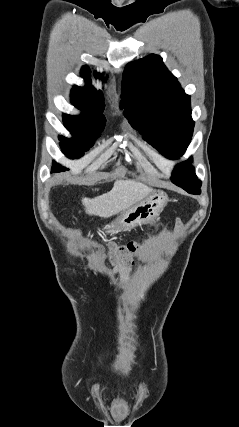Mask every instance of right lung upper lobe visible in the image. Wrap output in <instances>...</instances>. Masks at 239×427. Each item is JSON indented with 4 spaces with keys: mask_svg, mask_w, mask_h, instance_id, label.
Wrapping results in <instances>:
<instances>
[{
    "mask_svg": "<svg viewBox=\"0 0 239 427\" xmlns=\"http://www.w3.org/2000/svg\"><path fill=\"white\" fill-rule=\"evenodd\" d=\"M81 75L87 81V85L85 87H73L71 91L72 104L82 110L83 114L103 116V93L101 91L97 92L91 85L90 69L87 66L82 67ZM94 75L95 77H100L97 72Z\"/></svg>",
    "mask_w": 239,
    "mask_h": 427,
    "instance_id": "1",
    "label": "right lung upper lobe"
}]
</instances>
